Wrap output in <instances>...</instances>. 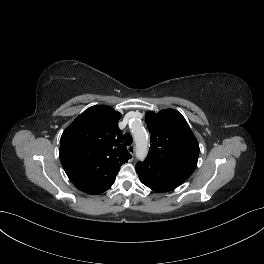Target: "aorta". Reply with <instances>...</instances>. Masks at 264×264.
Instances as JSON below:
<instances>
[{
	"mask_svg": "<svg viewBox=\"0 0 264 264\" xmlns=\"http://www.w3.org/2000/svg\"><path fill=\"white\" fill-rule=\"evenodd\" d=\"M132 132L136 142V157L144 160L148 154V135L141 126L134 128Z\"/></svg>",
	"mask_w": 264,
	"mask_h": 264,
	"instance_id": "1",
	"label": "aorta"
}]
</instances>
